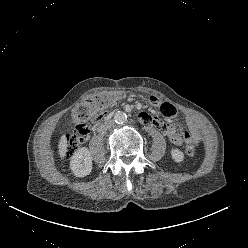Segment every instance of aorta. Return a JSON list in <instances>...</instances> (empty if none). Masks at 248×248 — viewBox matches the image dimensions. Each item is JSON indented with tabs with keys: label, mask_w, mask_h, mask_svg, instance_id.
Returning a JSON list of instances; mask_svg holds the SVG:
<instances>
[{
	"label": "aorta",
	"mask_w": 248,
	"mask_h": 248,
	"mask_svg": "<svg viewBox=\"0 0 248 248\" xmlns=\"http://www.w3.org/2000/svg\"><path fill=\"white\" fill-rule=\"evenodd\" d=\"M127 120V115L126 113L122 112V111H118L114 114V121L116 123H124Z\"/></svg>",
	"instance_id": "obj_1"
}]
</instances>
